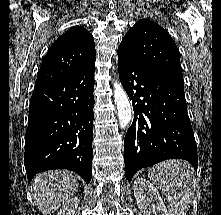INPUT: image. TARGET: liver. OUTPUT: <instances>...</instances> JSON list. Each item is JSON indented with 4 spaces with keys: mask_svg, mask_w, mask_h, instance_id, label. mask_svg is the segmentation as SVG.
Masks as SVG:
<instances>
[{
    "mask_svg": "<svg viewBox=\"0 0 221 215\" xmlns=\"http://www.w3.org/2000/svg\"><path fill=\"white\" fill-rule=\"evenodd\" d=\"M78 186L75 174L54 170L35 176L31 192L41 213L51 215L77 192Z\"/></svg>",
    "mask_w": 221,
    "mask_h": 215,
    "instance_id": "1",
    "label": "liver"
}]
</instances>
